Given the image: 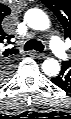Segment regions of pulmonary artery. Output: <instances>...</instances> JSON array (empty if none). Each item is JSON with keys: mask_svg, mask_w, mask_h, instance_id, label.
Listing matches in <instances>:
<instances>
[{"mask_svg": "<svg viewBox=\"0 0 71 119\" xmlns=\"http://www.w3.org/2000/svg\"><path fill=\"white\" fill-rule=\"evenodd\" d=\"M50 44H51L52 50L54 51V53L58 57H60V58H65L66 57L64 47H63L62 43L60 42V40L57 37L53 36L51 38Z\"/></svg>", "mask_w": 71, "mask_h": 119, "instance_id": "1", "label": "pulmonary artery"}]
</instances>
